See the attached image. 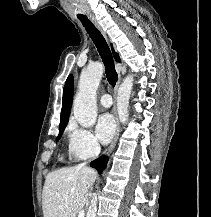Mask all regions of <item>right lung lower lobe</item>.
Listing matches in <instances>:
<instances>
[{
  "mask_svg": "<svg viewBox=\"0 0 211 217\" xmlns=\"http://www.w3.org/2000/svg\"><path fill=\"white\" fill-rule=\"evenodd\" d=\"M107 161H108V157L101 156L100 158L92 161L90 166L95 168L98 171V173L101 174L107 165Z\"/></svg>",
  "mask_w": 211,
  "mask_h": 217,
  "instance_id": "obj_1",
  "label": "right lung lower lobe"
}]
</instances>
